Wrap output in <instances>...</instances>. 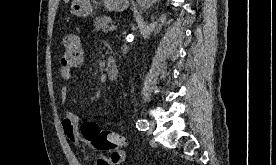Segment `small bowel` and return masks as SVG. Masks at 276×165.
Instances as JSON below:
<instances>
[{"label": "small bowel", "instance_id": "1", "mask_svg": "<svg viewBox=\"0 0 276 165\" xmlns=\"http://www.w3.org/2000/svg\"><path fill=\"white\" fill-rule=\"evenodd\" d=\"M71 69L60 67V75L63 79L68 80L71 77ZM68 91L65 86L60 89V98L64 103L67 99ZM79 118L72 112L64 109L62 112V127L66 137L74 143L83 154L87 162H91L92 156L91 152L85 146L83 139L80 135L79 128ZM125 158V154L119 158H115V155L111 153L109 156H101L97 159L96 165H117L120 164Z\"/></svg>", "mask_w": 276, "mask_h": 165}]
</instances>
